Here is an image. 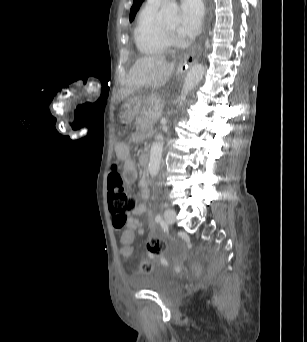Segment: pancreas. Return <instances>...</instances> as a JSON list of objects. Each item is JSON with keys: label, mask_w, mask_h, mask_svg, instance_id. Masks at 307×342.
<instances>
[{"label": "pancreas", "mask_w": 307, "mask_h": 342, "mask_svg": "<svg viewBox=\"0 0 307 342\" xmlns=\"http://www.w3.org/2000/svg\"><path fill=\"white\" fill-rule=\"evenodd\" d=\"M159 98L160 97L158 95L156 97H149L147 108H143L142 110V119H149L150 116L151 118H154V120H158V118H160L161 112L159 108L161 106H159V102L161 100Z\"/></svg>", "instance_id": "pancreas-1"}]
</instances>
